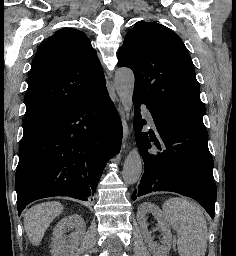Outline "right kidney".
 <instances>
[{
  "label": "right kidney",
  "instance_id": "1",
  "mask_svg": "<svg viewBox=\"0 0 236 256\" xmlns=\"http://www.w3.org/2000/svg\"><path fill=\"white\" fill-rule=\"evenodd\" d=\"M70 230H73L70 236H65V232ZM85 232V222L78 214L62 218L53 230L51 256H79L85 242Z\"/></svg>",
  "mask_w": 236,
  "mask_h": 256
}]
</instances>
